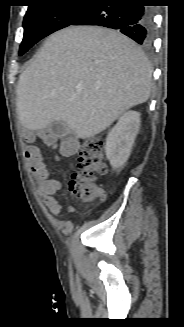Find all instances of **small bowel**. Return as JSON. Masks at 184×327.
Instances as JSON below:
<instances>
[{"instance_id": "1", "label": "small bowel", "mask_w": 184, "mask_h": 327, "mask_svg": "<svg viewBox=\"0 0 184 327\" xmlns=\"http://www.w3.org/2000/svg\"><path fill=\"white\" fill-rule=\"evenodd\" d=\"M35 136L41 138L49 146L58 147L61 155L65 157L74 155L78 148L77 141L72 138H65L58 142L56 137L47 134L44 130H39L36 134L29 130H24V137L27 141H32ZM25 157L32 172L40 180L45 204L53 215L60 216L63 210V203L55 198V194L60 190L61 182L47 170L38 147H27L25 149Z\"/></svg>"}]
</instances>
